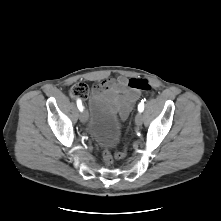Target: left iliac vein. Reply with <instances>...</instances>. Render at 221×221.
I'll use <instances>...</instances> for the list:
<instances>
[{"label":"left iliac vein","instance_id":"4c4485c4","mask_svg":"<svg viewBox=\"0 0 221 221\" xmlns=\"http://www.w3.org/2000/svg\"><path fill=\"white\" fill-rule=\"evenodd\" d=\"M142 122H143V115L141 112H138L135 116V123L139 127L142 125Z\"/></svg>","mask_w":221,"mask_h":221}]
</instances>
